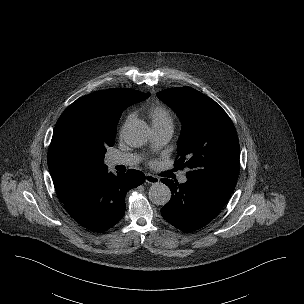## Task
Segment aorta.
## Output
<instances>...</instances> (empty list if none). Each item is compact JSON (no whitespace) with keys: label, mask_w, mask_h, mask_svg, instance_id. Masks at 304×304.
<instances>
[{"label":"aorta","mask_w":304,"mask_h":304,"mask_svg":"<svg viewBox=\"0 0 304 304\" xmlns=\"http://www.w3.org/2000/svg\"><path fill=\"white\" fill-rule=\"evenodd\" d=\"M149 134V127L141 121L127 124L123 131L125 142L132 147L144 145L148 140ZM170 198V188L161 182L153 183L149 189V199L156 205H165L169 202Z\"/></svg>","instance_id":"1"}]
</instances>
